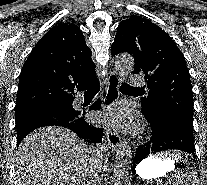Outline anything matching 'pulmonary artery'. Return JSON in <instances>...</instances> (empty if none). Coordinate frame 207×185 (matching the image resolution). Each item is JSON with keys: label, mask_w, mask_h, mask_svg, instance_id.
Listing matches in <instances>:
<instances>
[{"label": "pulmonary artery", "mask_w": 207, "mask_h": 185, "mask_svg": "<svg viewBox=\"0 0 207 185\" xmlns=\"http://www.w3.org/2000/svg\"><path fill=\"white\" fill-rule=\"evenodd\" d=\"M128 81L130 82V86H144L142 77H129Z\"/></svg>", "instance_id": "1"}]
</instances>
